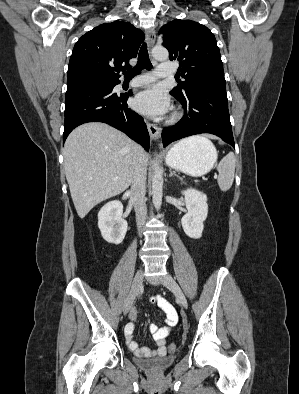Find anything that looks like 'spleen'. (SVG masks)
<instances>
[{
  "instance_id": "1",
  "label": "spleen",
  "mask_w": 299,
  "mask_h": 394,
  "mask_svg": "<svg viewBox=\"0 0 299 394\" xmlns=\"http://www.w3.org/2000/svg\"><path fill=\"white\" fill-rule=\"evenodd\" d=\"M196 139H198V141L211 144L209 139L205 137L196 136ZM235 167H236V158L234 153L232 152H229L218 163L216 167L219 172V177L217 181L221 191L225 192L231 188L234 180Z\"/></svg>"
}]
</instances>
